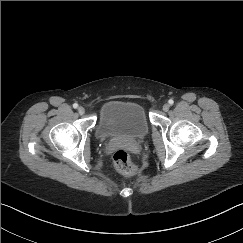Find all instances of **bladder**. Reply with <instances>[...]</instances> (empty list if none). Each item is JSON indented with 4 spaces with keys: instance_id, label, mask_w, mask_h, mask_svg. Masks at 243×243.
I'll use <instances>...</instances> for the list:
<instances>
[{
    "instance_id": "bladder-1",
    "label": "bladder",
    "mask_w": 243,
    "mask_h": 243,
    "mask_svg": "<svg viewBox=\"0 0 243 243\" xmlns=\"http://www.w3.org/2000/svg\"><path fill=\"white\" fill-rule=\"evenodd\" d=\"M149 131L143 107L132 101L110 100L101 110L96 135L102 140L136 141Z\"/></svg>"
}]
</instances>
